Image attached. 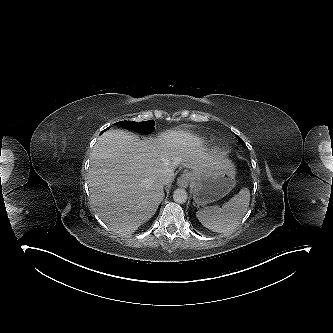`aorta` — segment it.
Listing matches in <instances>:
<instances>
[{"instance_id": "aorta-1", "label": "aorta", "mask_w": 333, "mask_h": 333, "mask_svg": "<svg viewBox=\"0 0 333 333\" xmlns=\"http://www.w3.org/2000/svg\"><path fill=\"white\" fill-rule=\"evenodd\" d=\"M173 199L176 203H185L188 199V195L185 189L178 188L173 193Z\"/></svg>"}]
</instances>
